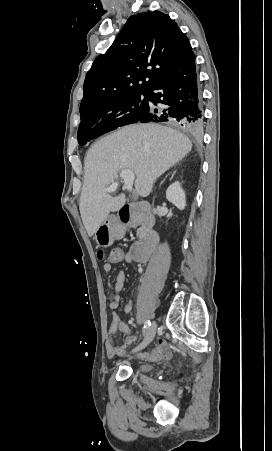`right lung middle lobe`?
Segmentation results:
<instances>
[{"instance_id": "obj_1", "label": "right lung middle lobe", "mask_w": 272, "mask_h": 451, "mask_svg": "<svg viewBox=\"0 0 272 451\" xmlns=\"http://www.w3.org/2000/svg\"><path fill=\"white\" fill-rule=\"evenodd\" d=\"M148 93L110 100L82 113L78 128L80 145L117 127L136 123L148 111Z\"/></svg>"}]
</instances>
